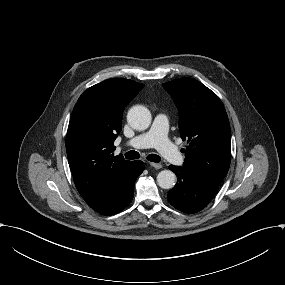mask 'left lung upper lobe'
I'll return each mask as SVG.
<instances>
[{"label":"left lung upper lobe","mask_w":285,"mask_h":285,"mask_svg":"<svg viewBox=\"0 0 285 285\" xmlns=\"http://www.w3.org/2000/svg\"><path fill=\"white\" fill-rule=\"evenodd\" d=\"M179 111V130L189 145L183 169L220 186L230 166V125L225 108L209 88L184 77L163 84Z\"/></svg>","instance_id":"1"}]
</instances>
